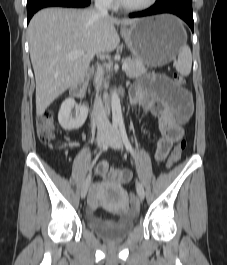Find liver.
Masks as SVG:
<instances>
[{"label": "liver", "mask_w": 227, "mask_h": 265, "mask_svg": "<svg viewBox=\"0 0 227 265\" xmlns=\"http://www.w3.org/2000/svg\"><path fill=\"white\" fill-rule=\"evenodd\" d=\"M137 21L102 16L94 9L47 8L36 13L29 23L28 36L37 116L84 78L95 55L116 49L120 39L114 25H132ZM79 50L85 54L78 59L66 57Z\"/></svg>", "instance_id": "6515ba94"}]
</instances>
